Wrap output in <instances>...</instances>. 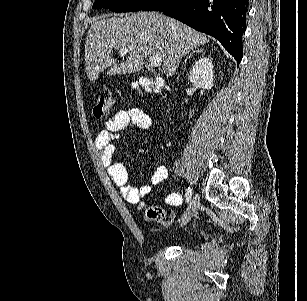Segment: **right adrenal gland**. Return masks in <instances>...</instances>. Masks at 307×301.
<instances>
[{
    "label": "right adrenal gland",
    "instance_id": "obj_1",
    "mask_svg": "<svg viewBox=\"0 0 307 301\" xmlns=\"http://www.w3.org/2000/svg\"><path fill=\"white\" fill-rule=\"evenodd\" d=\"M200 54V52H204V48H196V50H193V52H190V54H188L187 58H185L183 64H186L187 60H189V58H191V56H193V54Z\"/></svg>",
    "mask_w": 307,
    "mask_h": 301
}]
</instances>
